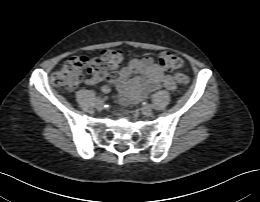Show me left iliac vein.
Returning <instances> with one entry per match:
<instances>
[{
	"label": "left iliac vein",
	"mask_w": 260,
	"mask_h": 202,
	"mask_svg": "<svg viewBox=\"0 0 260 202\" xmlns=\"http://www.w3.org/2000/svg\"><path fill=\"white\" fill-rule=\"evenodd\" d=\"M140 110L145 116H151L153 114L151 105H143Z\"/></svg>",
	"instance_id": "obj_1"
}]
</instances>
